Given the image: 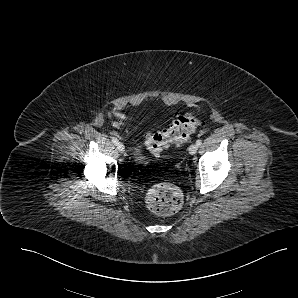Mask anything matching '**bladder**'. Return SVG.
<instances>
[{
	"label": "bladder",
	"mask_w": 298,
	"mask_h": 298,
	"mask_svg": "<svg viewBox=\"0 0 298 298\" xmlns=\"http://www.w3.org/2000/svg\"><path fill=\"white\" fill-rule=\"evenodd\" d=\"M136 153L139 154L140 153V150L139 149H136Z\"/></svg>",
	"instance_id": "1"
}]
</instances>
